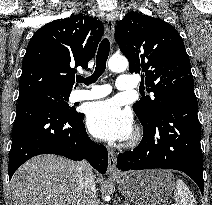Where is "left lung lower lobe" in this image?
Masks as SVG:
<instances>
[{
	"label": "left lung lower lobe",
	"mask_w": 212,
	"mask_h": 205,
	"mask_svg": "<svg viewBox=\"0 0 212 205\" xmlns=\"http://www.w3.org/2000/svg\"><path fill=\"white\" fill-rule=\"evenodd\" d=\"M196 99L169 104L150 123L143 125L141 143L118 155L121 171L167 168L186 173L203 194V157Z\"/></svg>",
	"instance_id": "1"
}]
</instances>
